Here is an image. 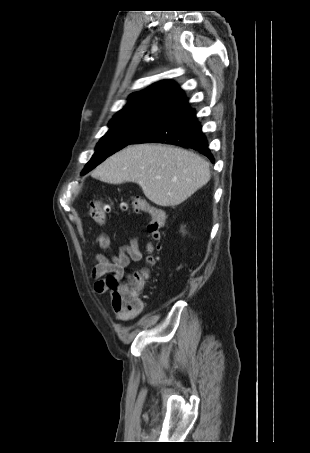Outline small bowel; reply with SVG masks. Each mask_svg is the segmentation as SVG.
Returning <instances> with one entry per match:
<instances>
[{"mask_svg":"<svg viewBox=\"0 0 310 453\" xmlns=\"http://www.w3.org/2000/svg\"><path fill=\"white\" fill-rule=\"evenodd\" d=\"M94 243L103 251L111 254L109 257L104 254H97V263L92 270V276L96 280L94 283V291L98 294H102L110 289L109 280L111 278L120 281L131 262H138L141 260L142 252L139 242L135 237H131L129 242L121 246L115 253L112 251L110 239L103 233H100L95 237ZM117 318L120 321H128L133 319L134 316L125 317L117 313Z\"/></svg>","mask_w":310,"mask_h":453,"instance_id":"obj_1","label":"small bowel"}]
</instances>
